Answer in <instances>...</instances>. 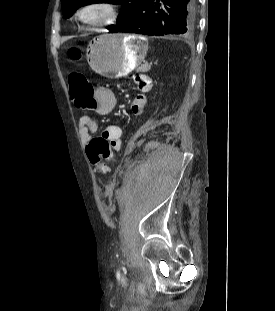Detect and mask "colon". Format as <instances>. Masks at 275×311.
<instances>
[{"label":"colon","mask_w":275,"mask_h":311,"mask_svg":"<svg viewBox=\"0 0 275 311\" xmlns=\"http://www.w3.org/2000/svg\"><path fill=\"white\" fill-rule=\"evenodd\" d=\"M68 57L72 60H78L80 58L79 49H69ZM69 85L71 98L78 108H84L85 105L92 104L95 99L94 87L83 74H71L69 77ZM112 146L113 142L104 135L93 138L87 145L86 152L88 159L100 174L109 169L111 161L110 150Z\"/></svg>","instance_id":"5ec220e1"}]
</instances>
